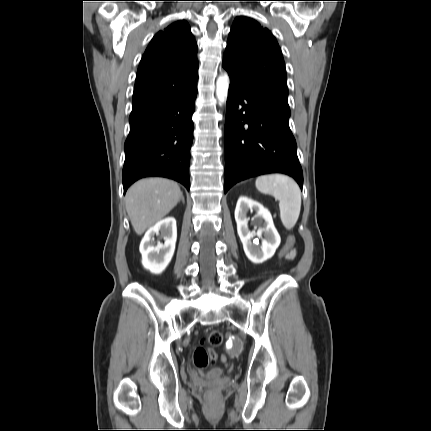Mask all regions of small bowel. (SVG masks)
<instances>
[{
  "label": "small bowel",
  "mask_w": 431,
  "mask_h": 431,
  "mask_svg": "<svg viewBox=\"0 0 431 431\" xmlns=\"http://www.w3.org/2000/svg\"><path fill=\"white\" fill-rule=\"evenodd\" d=\"M296 255V250L294 248H289L287 250V253L283 256V259L286 262H289L291 259H293Z\"/></svg>",
  "instance_id": "c3829d8e"
}]
</instances>
